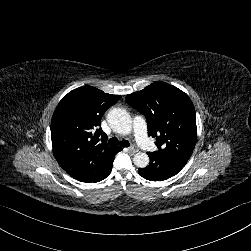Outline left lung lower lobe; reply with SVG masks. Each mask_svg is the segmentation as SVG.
<instances>
[{
  "mask_svg": "<svg viewBox=\"0 0 251 251\" xmlns=\"http://www.w3.org/2000/svg\"><path fill=\"white\" fill-rule=\"evenodd\" d=\"M147 154L150 158L149 165L138 169L139 175L147 180H167L175 176L186 164L180 160L165 157L159 152H148Z\"/></svg>",
  "mask_w": 251,
  "mask_h": 251,
  "instance_id": "left-lung-lower-lobe-1",
  "label": "left lung lower lobe"
}]
</instances>
